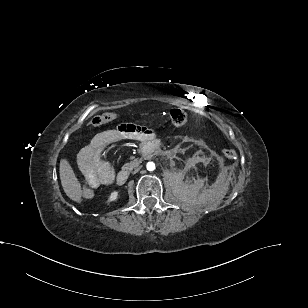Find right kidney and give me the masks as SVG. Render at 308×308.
Segmentation results:
<instances>
[{"label":"right kidney","mask_w":308,"mask_h":308,"mask_svg":"<svg viewBox=\"0 0 308 308\" xmlns=\"http://www.w3.org/2000/svg\"><path fill=\"white\" fill-rule=\"evenodd\" d=\"M118 197V191H113L111 192V194L109 195L108 197V201L109 202H112V201H115Z\"/></svg>","instance_id":"1"}]
</instances>
